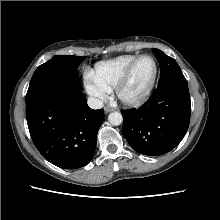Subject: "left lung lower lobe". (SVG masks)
Here are the masks:
<instances>
[{"mask_svg": "<svg viewBox=\"0 0 220 220\" xmlns=\"http://www.w3.org/2000/svg\"><path fill=\"white\" fill-rule=\"evenodd\" d=\"M191 114L188 84L184 76L158 84L137 110L122 111V133L130 146L148 156L163 155L185 136Z\"/></svg>", "mask_w": 220, "mask_h": 220, "instance_id": "left-lung-lower-lobe-1", "label": "left lung lower lobe"}]
</instances>
